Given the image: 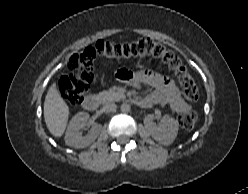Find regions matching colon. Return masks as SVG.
<instances>
[{
  "mask_svg": "<svg viewBox=\"0 0 248 194\" xmlns=\"http://www.w3.org/2000/svg\"><path fill=\"white\" fill-rule=\"evenodd\" d=\"M144 56H152L168 66L177 77L186 99L190 101L198 99V86L181 60L164 44L152 39H138L123 43L99 40L94 46L73 54L67 63L66 73L59 81L60 93L71 105L80 104L94 80L93 62L96 57L123 60ZM131 73L123 70L119 71L117 76L127 81ZM196 120L197 115L193 111L179 116V123L186 129H191Z\"/></svg>",
  "mask_w": 248,
  "mask_h": 194,
  "instance_id": "1",
  "label": "colon"
}]
</instances>
